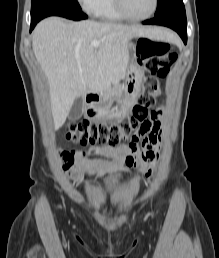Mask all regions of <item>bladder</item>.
I'll use <instances>...</instances> for the list:
<instances>
[{
  "label": "bladder",
  "instance_id": "31cf9c89",
  "mask_svg": "<svg viewBox=\"0 0 219 258\" xmlns=\"http://www.w3.org/2000/svg\"><path fill=\"white\" fill-rule=\"evenodd\" d=\"M128 187V181L123 174H116L102 186V196L97 199L96 204L100 210L107 213H122L126 211L131 202L118 193Z\"/></svg>",
  "mask_w": 219,
  "mask_h": 258
}]
</instances>
